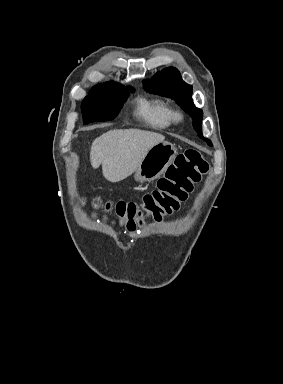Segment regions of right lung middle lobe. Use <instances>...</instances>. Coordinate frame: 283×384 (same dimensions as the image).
Returning <instances> with one entry per match:
<instances>
[{
  "instance_id": "obj_1",
  "label": "right lung middle lobe",
  "mask_w": 283,
  "mask_h": 384,
  "mask_svg": "<svg viewBox=\"0 0 283 384\" xmlns=\"http://www.w3.org/2000/svg\"><path fill=\"white\" fill-rule=\"evenodd\" d=\"M128 97V89L121 84L92 88L82 102L84 124L113 120Z\"/></svg>"
}]
</instances>
